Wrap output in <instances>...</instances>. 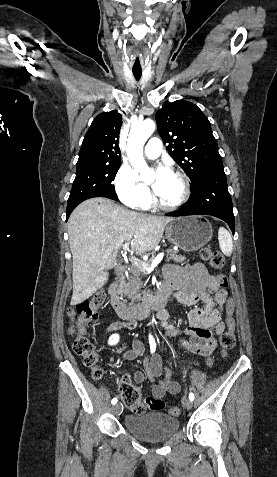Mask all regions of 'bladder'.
<instances>
[{
  "mask_svg": "<svg viewBox=\"0 0 277 477\" xmlns=\"http://www.w3.org/2000/svg\"><path fill=\"white\" fill-rule=\"evenodd\" d=\"M124 426L139 439L161 441L168 439L179 430L180 421L168 414L152 411L126 415Z\"/></svg>",
  "mask_w": 277,
  "mask_h": 477,
  "instance_id": "bladder-1",
  "label": "bladder"
}]
</instances>
